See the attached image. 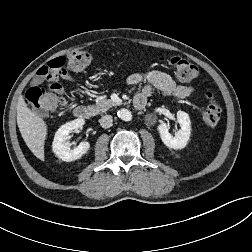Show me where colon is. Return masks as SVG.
I'll return each instance as SVG.
<instances>
[{
	"mask_svg": "<svg viewBox=\"0 0 252 252\" xmlns=\"http://www.w3.org/2000/svg\"><path fill=\"white\" fill-rule=\"evenodd\" d=\"M92 56L87 51H76L69 56L57 57L51 60L46 66L41 67L36 73V82H47L48 87L43 88L37 84L30 87L26 93L25 102L31 109L45 114L59 105L66 103L63 87L58 83L60 74L64 71L65 65L70 69L80 71L89 66ZM173 68L177 79L181 81L193 80L198 76V68L189 61L180 57L167 59ZM207 105L202 109L203 122L208 127H214L219 123L221 108L216 102L212 93L205 94Z\"/></svg>",
	"mask_w": 252,
	"mask_h": 252,
	"instance_id": "colon-1",
	"label": "colon"
}]
</instances>
